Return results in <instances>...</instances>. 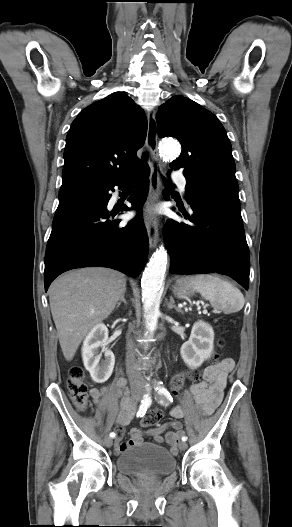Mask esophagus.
I'll use <instances>...</instances> for the list:
<instances>
[{"mask_svg": "<svg viewBox=\"0 0 292 527\" xmlns=\"http://www.w3.org/2000/svg\"><path fill=\"white\" fill-rule=\"evenodd\" d=\"M148 127L146 136V146L150 152V189L145 203L144 223L146 226L149 245L154 248L159 239L158 218L154 212V206L159 198L160 174H159V157L157 153V122L155 111L148 112Z\"/></svg>", "mask_w": 292, "mask_h": 527, "instance_id": "1", "label": "esophagus"}]
</instances>
